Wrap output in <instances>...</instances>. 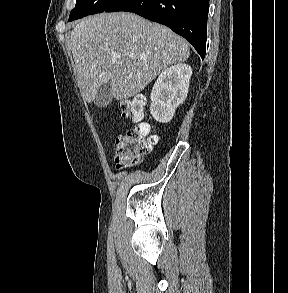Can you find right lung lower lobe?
I'll return each mask as SVG.
<instances>
[{
    "instance_id": "right-lung-lower-lobe-1",
    "label": "right lung lower lobe",
    "mask_w": 288,
    "mask_h": 293,
    "mask_svg": "<svg viewBox=\"0 0 288 293\" xmlns=\"http://www.w3.org/2000/svg\"><path fill=\"white\" fill-rule=\"evenodd\" d=\"M209 0H118L105 12L128 11L171 28L205 57Z\"/></svg>"
}]
</instances>
